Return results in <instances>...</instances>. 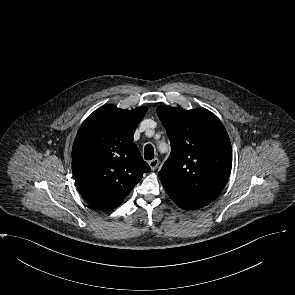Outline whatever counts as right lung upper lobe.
Instances as JSON below:
<instances>
[{"mask_svg": "<svg viewBox=\"0 0 295 295\" xmlns=\"http://www.w3.org/2000/svg\"><path fill=\"white\" fill-rule=\"evenodd\" d=\"M147 112L142 106L122 110L105 105L82 123L72 148V171L76 186L92 207L109 211L149 172L132 142L135 129Z\"/></svg>", "mask_w": 295, "mask_h": 295, "instance_id": "right-lung-upper-lobe-1", "label": "right lung upper lobe"}]
</instances>
